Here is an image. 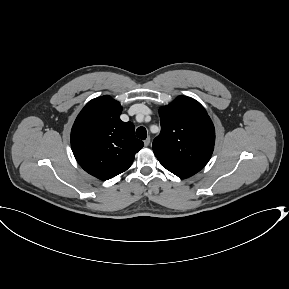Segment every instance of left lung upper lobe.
<instances>
[{"instance_id":"1","label":"left lung upper lobe","mask_w":289,"mask_h":289,"mask_svg":"<svg viewBox=\"0 0 289 289\" xmlns=\"http://www.w3.org/2000/svg\"><path fill=\"white\" fill-rule=\"evenodd\" d=\"M161 132L152 144L164 168L180 178L199 172L209 161L215 143L214 125L196 100L179 96L160 108Z\"/></svg>"}]
</instances>
